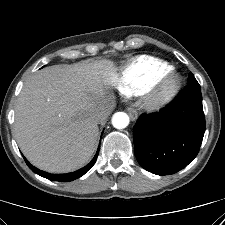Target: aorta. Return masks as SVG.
Here are the masks:
<instances>
[{
	"instance_id": "1",
	"label": "aorta",
	"mask_w": 225,
	"mask_h": 225,
	"mask_svg": "<svg viewBox=\"0 0 225 225\" xmlns=\"http://www.w3.org/2000/svg\"><path fill=\"white\" fill-rule=\"evenodd\" d=\"M129 116L124 112H117L112 117V125L116 129H124L129 124Z\"/></svg>"
}]
</instances>
